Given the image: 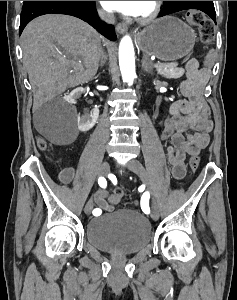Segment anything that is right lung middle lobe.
Returning <instances> with one entry per match:
<instances>
[{
    "label": "right lung middle lobe",
    "instance_id": "right-lung-middle-lobe-1",
    "mask_svg": "<svg viewBox=\"0 0 237 300\" xmlns=\"http://www.w3.org/2000/svg\"><path fill=\"white\" fill-rule=\"evenodd\" d=\"M36 2H38V1H24L23 7H27L29 5H32V4L36 3Z\"/></svg>",
    "mask_w": 237,
    "mask_h": 300
}]
</instances>
